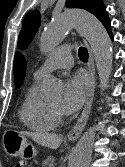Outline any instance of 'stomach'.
Returning a JSON list of instances; mask_svg holds the SVG:
<instances>
[{
	"label": "stomach",
	"instance_id": "stomach-1",
	"mask_svg": "<svg viewBox=\"0 0 125 167\" xmlns=\"http://www.w3.org/2000/svg\"><path fill=\"white\" fill-rule=\"evenodd\" d=\"M6 134L8 138L4 142V150L7 154L22 160H30L37 155L36 148L26 136L16 131H8Z\"/></svg>",
	"mask_w": 125,
	"mask_h": 167
}]
</instances>
